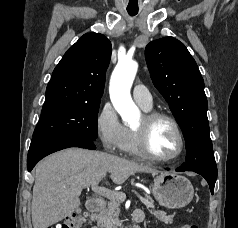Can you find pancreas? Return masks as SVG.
Returning a JSON list of instances; mask_svg holds the SVG:
<instances>
[{
    "label": "pancreas",
    "instance_id": "1",
    "mask_svg": "<svg viewBox=\"0 0 238 228\" xmlns=\"http://www.w3.org/2000/svg\"><path fill=\"white\" fill-rule=\"evenodd\" d=\"M146 199L153 204V199L146 195ZM123 200H111L107 204V208L101 214L99 224L102 228H121L123 221L119 219L120 204ZM150 213L159 221L165 224L173 223V216L166 215L164 211L151 210Z\"/></svg>",
    "mask_w": 238,
    "mask_h": 228
}]
</instances>
